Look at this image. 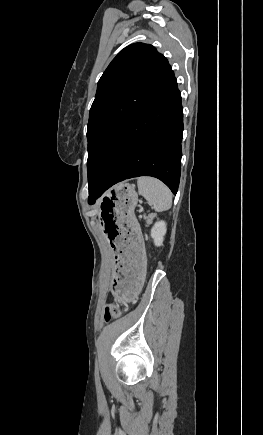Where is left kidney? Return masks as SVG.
<instances>
[{"mask_svg": "<svg viewBox=\"0 0 263 435\" xmlns=\"http://www.w3.org/2000/svg\"><path fill=\"white\" fill-rule=\"evenodd\" d=\"M166 231L167 227L164 221H158L154 224L151 229V237L153 238L154 244L156 246H161L163 244Z\"/></svg>", "mask_w": 263, "mask_h": 435, "instance_id": "obj_1", "label": "left kidney"}]
</instances>
